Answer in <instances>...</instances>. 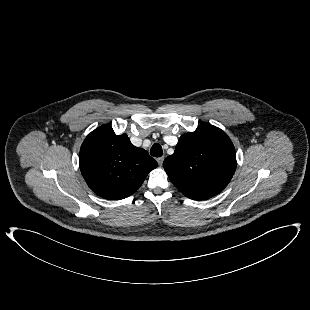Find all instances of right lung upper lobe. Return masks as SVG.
Masks as SVG:
<instances>
[{"label": "right lung upper lobe", "mask_w": 310, "mask_h": 310, "mask_svg": "<svg viewBox=\"0 0 310 310\" xmlns=\"http://www.w3.org/2000/svg\"><path fill=\"white\" fill-rule=\"evenodd\" d=\"M81 173L88 186L100 197L119 200L132 195L157 162L126 134L116 135L109 125L92 131L79 155Z\"/></svg>", "instance_id": "right-lung-upper-lobe-1"}]
</instances>
